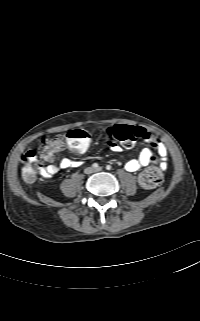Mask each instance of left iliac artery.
<instances>
[{
  "label": "left iliac artery",
  "mask_w": 200,
  "mask_h": 321,
  "mask_svg": "<svg viewBox=\"0 0 200 321\" xmlns=\"http://www.w3.org/2000/svg\"><path fill=\"white\" fill-rule=\"evenodd\" d=\"M106 169H107V170H110V169H111V166H110V165H107V166H106Z\"/></svg>",
  "instance_id": "1"
}]
</instances>
